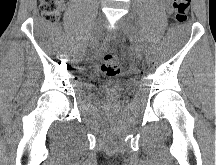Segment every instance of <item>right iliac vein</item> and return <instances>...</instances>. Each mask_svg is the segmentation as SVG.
<instances>
[{
  "label": "right iliac vein",
  "instance_id": "63e3f726",
  "mask_svg": "<svg viewBox=\"0 0 216 165\" xmlns=\"http://www.w3.org/2000/svg\"><path fill=\"white\" fill-rule=\"evenodd\" d=\"M103 23H104V16L100 15L98 18L96 27L94 28L92 36H91V44H94L98 40L100 33H101V28H102Z\"/></svg>",
  "mask_w": 216,
  "mask_h": 165
}]
</instances>
